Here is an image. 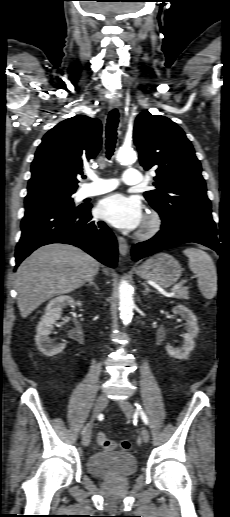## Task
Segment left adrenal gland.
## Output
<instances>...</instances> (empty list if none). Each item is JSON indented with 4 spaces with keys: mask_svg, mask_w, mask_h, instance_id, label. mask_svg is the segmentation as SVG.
Wrapping results in <instances>:
<instances>
[{
    "mask_svg": "<svg viewBox=\"0 0 230 517\" xmlns=\"http://www.w3.org/2000/svg\"><path fill=\"white\" fill-rule=\"evenodd\" d=\"M142 285L145 287L143 295H147L149 292H153L151 289H149V286L146 283H142Z\"/></svg>",
    "mask_w": 230,
    "mask_h": 517,
    "instance_id": "1",
    "label": "left adrenal gland"
}]
</instances>
